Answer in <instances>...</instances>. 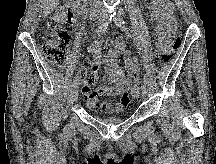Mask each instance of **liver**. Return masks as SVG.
<instances>
[{
    "label": "liver",
    "mask_w": 216,
    "mask_h": 164,
    "mask_svg": "<svg viewBox=\"0 0 216 164\" xmlns=\"http://www.w3.org/2000/svg\"><path fill=\"white\" fill-rule=\"evenodd\" d=\"M42 1H43V14L45 16L50 14L51 11H53L60 2V0H42Z\"/></svg>",
    "instance_id": "liver-1"
}]
</instances>
